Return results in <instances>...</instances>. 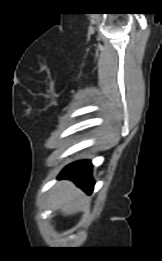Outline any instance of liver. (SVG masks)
I'll use <instances>...</instances> for the list:
<instances>
[{
    "label": "liver",
    "mask_w": 162,
    "mask_h": 261,
    "mask_svg": "<svg viewBox=\"0 0 162 261\" xmlns=\"http://www.w3.org/2000/svg\"><path fill=\"white\" fill-rule=\"evenodd\" d=\"M58 205L64 215H71L88 203L86 196L77 189L71 182L62 181L56 185Z\"/></svg>",
    "instance_id": "obj_1"
}]
</instances>
